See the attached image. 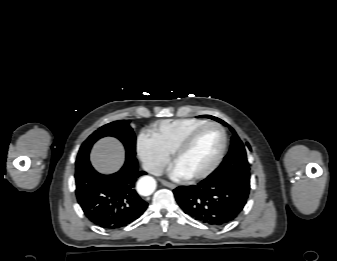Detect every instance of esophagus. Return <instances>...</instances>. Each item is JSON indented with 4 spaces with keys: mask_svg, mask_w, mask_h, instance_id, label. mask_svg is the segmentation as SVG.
<instances>
[{
    "mask_svg": "<svg viewBox=\"0 0 337 261\" xmlns=\"http://www.w3.org/2000/svg\"><path fill=\"white\" fill-rule=\"evenodd\" d=\"M161 183H162L164 186H166V187H168V188H170V189H175V188H176V185L173 184V183H171V182H168V181H165V180H161Z\"/></svg>",
    "mask_w": 337,
    "mask_h": 261,
    "instance_id": "obj_1",
    "label": "esophagus"
}]
</instances>
